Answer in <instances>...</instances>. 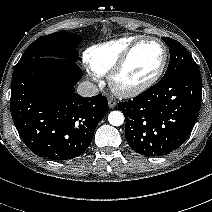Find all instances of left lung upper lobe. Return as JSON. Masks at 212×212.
<instances>
[{"instance_id":"5c2ea615","label":"left lung upper lobe","mask_w":212,"mask_h":212,"mask_svg":"<svg viewBox=\"0 0 212 212\" xmlns=\"http://www.w3.org/2000/svg\"><path fill=\"white\" fill-rule=\"evenodd\" d=\"M162 39L169 47L170 63L167 72L161 80L170 78L179 72L197 68V64L181 43L168 37H162Z\"/></svg>"}]
</instances>
